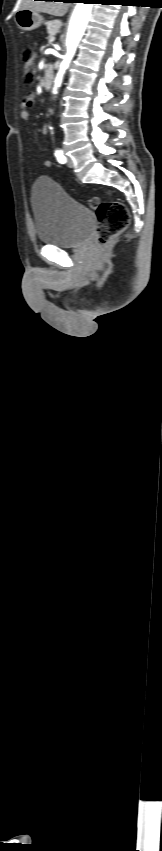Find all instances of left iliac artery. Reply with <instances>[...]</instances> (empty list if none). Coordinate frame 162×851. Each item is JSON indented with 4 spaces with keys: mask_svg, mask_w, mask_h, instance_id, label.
I'll return each mask as SVG.
<instances>
[{
    "mask_svg": "<svg viewBox=\"0 0 162 851\" xmlns=\"http://www.w3.org/2000/svg\"><path fill=\"white\" fill-rule=\"evenodd\" d=\"M55 156H56L59 163L63 164V163L66 162V157L63 155V152L61 150H57L55 152Z\"/></svg>",
    "mask_w": 162,
    "mask_h": 851,
    "instance_id": "1",
    "label": "left iliac artery"
}]
</instances>
